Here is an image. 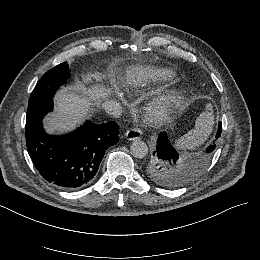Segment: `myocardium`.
<instances>
[{"label":"myocardium","instance_id":"obj_1","mask_svg":"<svg viewBox=\"0 0 260 260\" xmlns=\"http://www.w3.org/2000/svg\"><path fill=\"white\" fill-rule=\"evenodd\" d=\"M186 98L187 90L178 88L172 90L167 96L159 98L156 103L147 108V111L153 120L160 121L163 120L172 108L180 106Z\"/></svg>","mask_w":260,"mask_h":260}]
</instances>
